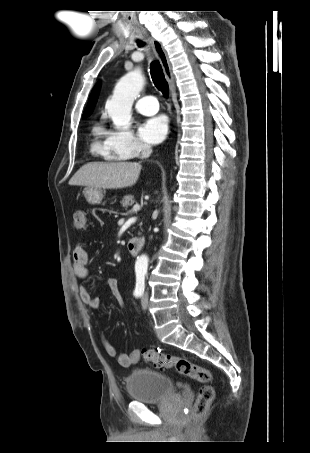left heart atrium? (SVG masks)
<instances>
[{
	"mask_svg": "<svg viewBox=\"0 0 310 453\" xmlns=\"http://www.w3.org/2000/svg\"><path fill=\"white\" fill-rule=\"evenodd\" d=\"M168 130L165 116H156L145 120L139 127V136L143 141L156 144L162 141Z\"/></svg>",
	"mask_w": 310,
	"mask_h": 453,
	"instance_id": "obj_1",
	"label": "left heart atrium"
}]
</instances>
